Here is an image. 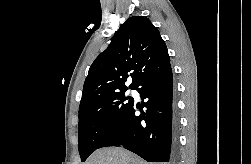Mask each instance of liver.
Listing matches in <instances>:
<instances>
[{"instance_id": "6515ba94", "label": "liver", "mask_w": 251, "mask_h": 164, "mask_svg": "<svg viewBox=\"0 0 251 164\" xmlns=\"http://www.w3.org/2000/svg\"><path fill=\"white\" fill-rule=\"evenodd\" d=\"M85 164H147L135 154L121 147L96 150Z\"/></svg>"}]
</instances>
